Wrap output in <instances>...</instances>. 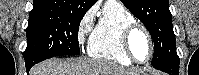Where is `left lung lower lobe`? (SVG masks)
<instances>
[{
  "label": "left lung lower lobe",
  "mask_w": 199,
  "mask_h": 75,
  "mask_svg": "<svg viewBox=\"0 0 199 75\" xmlns=\"http://www.w3.org/2000/svg\"><path fill=\"white\" fill-rule=\"evenodd\" d=\"M179 64L180 60L177 56L173 61H169L168 63L157 66L155 68L171 75H179Z\"/></svg>",
  "instance_id": "1"
}]
</instances>
